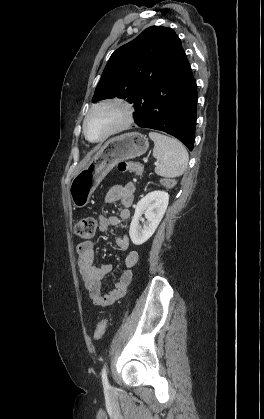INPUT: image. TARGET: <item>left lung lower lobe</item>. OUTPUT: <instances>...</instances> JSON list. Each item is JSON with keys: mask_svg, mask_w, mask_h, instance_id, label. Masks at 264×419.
<instances>
[{"mask_svg": "<svg viewBox=\"0 0 264 419\" xmlns=\"http://www.w3.org/2000/svg\"><path fill=\"white\" fill-rule=\"evenodd\" d=\"M196 110L197 86L182 48L170 77L153 83L142 105L135 109V123L173 135L192 150Z\"/></svg>", "mask_w": 264, "mask_h": 419, "instance_id": "obj_1", "label": "left lung lower lobe"}]
</instances>
